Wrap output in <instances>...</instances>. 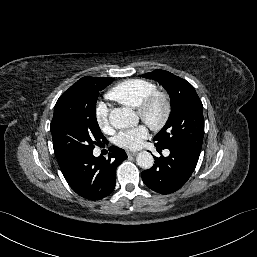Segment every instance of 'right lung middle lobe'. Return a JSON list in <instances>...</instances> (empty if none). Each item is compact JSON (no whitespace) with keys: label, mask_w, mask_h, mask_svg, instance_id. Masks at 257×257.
Wrapping results in <instances>:
<instances>
[{"label":"right lung middle lobe","mask_w":257,"mask_h":257,"mask_svg":"<svg viewBox=\"0 0 257 257\" xmlns=\"http://www.w3.org/2000/svg\"><path fill=\"white\" fill-rule=\"evenodd\" d=\"M113 80L88 78L60 96L50 125L55 154L81 158L92 153L95 144L106 141L97 123L96 102L99 92Z\"/></svg>","instance_id":"dd1d6c3e"}]
</instances>
